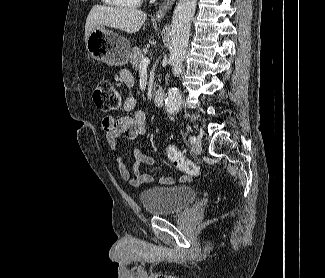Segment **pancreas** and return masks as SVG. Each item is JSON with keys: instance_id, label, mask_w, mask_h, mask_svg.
<instances>
[{"instance_id": "1", "label": "pancreas", "mask_w": 325, "mask_h": 278, "mask_svg": "<svg viewBox=\"0 0 325 278\" xmlns=\"http://www.w3.org/2000/svg\"><path fill=\"white\" fill-rule=\"evenodd\" d=\"M143 53L139 47H133L130 53V63L132 64L133 69L138 70L140 67V61L143 58Z\"/></svg>"}]
</instances>
